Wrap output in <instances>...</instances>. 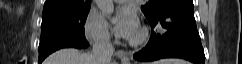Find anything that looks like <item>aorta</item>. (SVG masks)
I'll use <instances>...</instances> for the list:
<instances>
[{
    "instance_id": "762f6f07",
    "label": "aorta",
    "mask_w": 242,
    "mask_h": 64,
    "mask_svg": "<svg viewBox=\"0 0 242 64\" xmlns=\"http://www.w3.org/2000/svg\"><path fill=\"white\" fill-rule=\"evenodd\" d=\"M96 4L102 14L110 19L114 12L113 0H96Z\"/></svg>"
}]
</instances>
